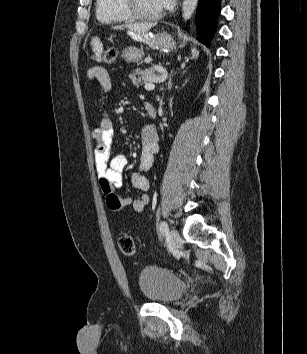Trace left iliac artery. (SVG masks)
Here are the masks:
<instances>
[{
  "label": "left iliac artery",
  "mask_w": 307,
  "mask_h": 354,
  "mask_svg": "<svg viewBox=\"0 0 307 354\" xmlns=\"http://www.w3.org/2000/svg\"><path fill=\"white\" fill-rule=\"evenodd\" d=\"M159 230L162 234H167L169 229H168V225L165 221H162L159 225Z\"/></svg>",
  "instance_id": "left-iliac-artery-1"
}]
</instances>
